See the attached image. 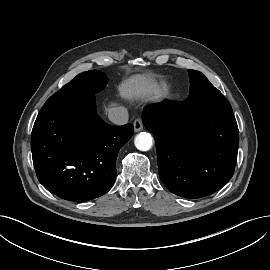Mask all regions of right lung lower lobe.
Listing matches in <instances>:
<instances>
[{"instance_id":"obj_1","label":"right lung lower lobe","mask_w":270,"mask_h":270,"mask_svg":"<svg viewBox=\"0 0 270 270\" xmlns=\"http://www.w3.org/2000/svg\"><path fill=\"white\" fill-rule=\"evenodd\" d=\"M133 126H112L96 113L95 98L42 108L31 150L39 182L65 200L84 202L110 190L119 149Z\"/></svg>"}]
</instances>
